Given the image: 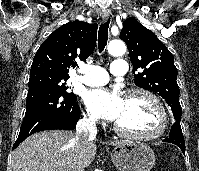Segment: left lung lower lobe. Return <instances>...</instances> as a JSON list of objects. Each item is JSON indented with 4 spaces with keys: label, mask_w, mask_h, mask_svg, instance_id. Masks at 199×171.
<instances>
[{
    "label": "left lung lower lobe",
    "mask_w": 199,
    "mask_h": 171,
    "mask_svg": "<svg viewBox=\"0 0 199 171\" xmlns=\"http://www.w3.org/2000/svg\"><path fill=\"white\" fill-rule=\"evenodd\" d=\"M163 141L177 145L185 153V141L182 134L181 126L178 120L173 124L169 137Z\"/></svg>",
    "instance_id": "1"
}]
</instances>
